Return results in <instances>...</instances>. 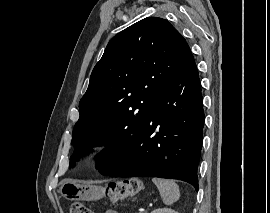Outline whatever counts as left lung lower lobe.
Segmentation results:
<instances>
[{"label":"left lung lower lobe","mask_w":270,"mask_h":213,"mask_svg":"<svg viewBox=\"0 0 270 213\" xmlns=\"http://www.w3.org/2000/svg\"><path fill=\"white\" fill-rule=\"evenodd\" d=\"M203 124V99L194 64L171 82L149 118L129 139L108 144L97 169L111 177L183 180L198 190Z\"/></svg>","instance_id":"0a47b994"}]
</instances>
